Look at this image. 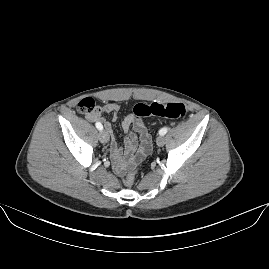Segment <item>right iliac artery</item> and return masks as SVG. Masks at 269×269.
Returning <instances> with one entry per match:
<instances>
[{
	"label": "right iliac artery",
	"mask_w": 269,
	"mask_h": 269,
	"mask_svg": "<svg viewBox=\"0 0 269 269\" xmlns=\"http://www.w3.org/2000/svg\"><path fill=\"white\" fill-rule=\"evenodd\" d=\"M95 125H96V128H97L98 130H102V129H103V126H102L101 123L97 122Z\"/></svg>",
	"instance_id": "right-iliac-artery-1"
}]
</instances>
